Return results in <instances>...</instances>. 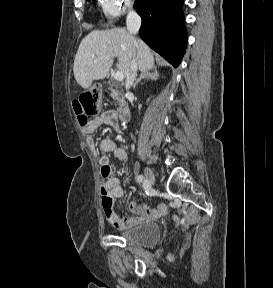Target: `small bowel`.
<instances>
[{
	"mask_svg": "<svg viewBox=\"0 0 273 288\" xmlns=\"http://www.w3.org/2000/svg\"><path fill=\"white\" fill-rule=\"evenodd\" d=\"M102 127L112 128L117 132H120L119 122L114 111L109 110L101 113L92 121H90L89 126L84 129L87 142L90 146H93L94 144V133ZM99 148L101 152L112 153L115 158L121 161H125L127 159L126 150L118 147L110 138L101 140ZM98 163L102 177L100 188L102 207L107 221L112 226L119 229H126L145 221L157 219L165 214L166 206L164 204H158L155 207H149L138 202H131L128 205V209L132 214H134V216H119L114 209V201L123 195V189L120 180L113 176L110 166V159L108 156H100L98 158Z\"/></svg>",
	"mask_w": 273,
	"mask_h": 288,
	"instance_id": "obj_1",
	"label": "small bowel"
}]
</instances>
